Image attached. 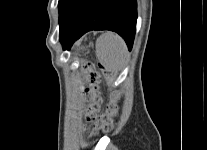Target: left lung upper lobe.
<instances>
[{
  "mask_svg": "<svg viewBox=\"0 0 207 150\" xmlns=\"http://www.w3.org/2000/svg\"><path fill=\"white\" fill-rule=\"evenodd\" d=\"M65 1L66 0H59V3H58L59 11H60V9H61V7H62V5L64 4Z\"/></svg>",
  "mask_w": 207,
  "mask_h": 150,
  "instance_id": "5c2ea615",
  "label": "left lung upper lobe"
}]
</instances>
